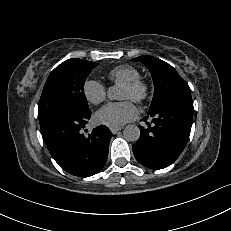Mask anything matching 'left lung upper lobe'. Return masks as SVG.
Instances as JSON below:
<instances>
[{
	"label": "left lung upper lobe",
	"instance_id": "1",
	"mask_svg": "<svg viewBox=\"0 0 231 231\" xmlns=\"http://www.w3.org/2000/svg\"><path fill=\"white\" fill-rule=\"evenodd\" d=\"M132 60L144 63L152 74L155 92L150 109L171 96L191 95L189 85L165 61L148 55H143Z\"/></svg>",
	"mask_w": 231,
	"mask_h": 231
}]
</instances>
